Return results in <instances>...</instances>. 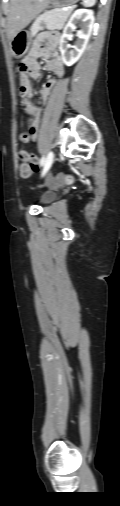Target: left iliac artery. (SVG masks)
Wrapping results in <instances>:
<instances>
[{
    "label": "left iliac artery",
    "instance_id": "left-iliac-artery-1",
    "mask_svg": "<svg viewBox=\"0 0 120 506\" xmlns=\"http://www.w3.org/2000/svg\"><path fill=\"white\" fill-rule=\"evenodd\" d=\"M45 162H46V158L43 156L41 159H40V166H44L45 165ZM46 173V171H44V174Z\"/></svg>",
    "mask_w": 120,
    "mask_h": 506
}]
</instances>
